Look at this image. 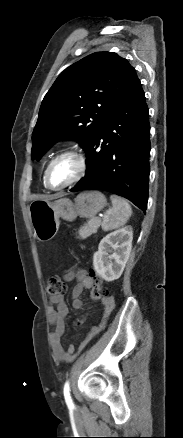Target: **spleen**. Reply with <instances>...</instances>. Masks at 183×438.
<instances>
[{"mask_svg":"<svg viewBox=\"0 0 183 438\" xmlns=\"http://www.w3.org/2000/svg\"><path fill=\"white\" fill-rule=\"evenodd\" d=\"M110 200L112 202V208L105 212L102 222V229L104 231L123 226L132 215V208L125 199L111 195Z\"/></svg>","mask_w":183,"mask_h":438,"instance_id":"1","label":"spleen"}]
</instances>
